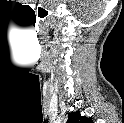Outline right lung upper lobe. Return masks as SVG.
Wrapping results in <instances>:
<instances>
[{"label": "right lung upper lobe", "instance_id": "right-lung-upper-lobe-1", "mask_svg": "<svg viewBox=\"0 0 124 123\" xmlns=\"http://www.w3.org/2000/svg\"><path fill=\"white\" fill-rule=\"evenodd\" d=\"M91 118H87L86 116H81L80 112H71L68 115L67 123H91Z\"/></svg>", "mask_w": 124, "mask_h": 123}]
</instances>
